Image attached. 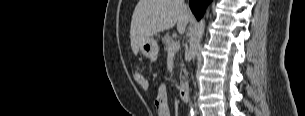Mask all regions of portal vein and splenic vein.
<instances>
[{"instance_id":"obj_1","label":"portal vein and splenic vein","mask_w":305,"mask_h":116,"mask_svg":"<svg viewBox=\"0 0 305 116\" xmlns=\"http://www.w3.org/2000/svg\"><path fill=\"white\" fill-rule=\"evenodd\" d=\"M180 49V43L179 42H174L173 44L170 45L168 52L169 53H176Z\"/></svg>"}]
</instances>
